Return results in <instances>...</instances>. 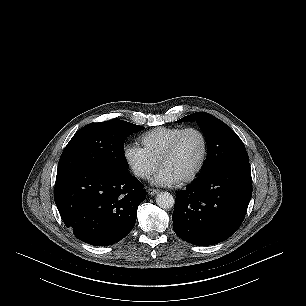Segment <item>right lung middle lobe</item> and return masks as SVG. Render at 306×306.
<instances>
[{
    "label": "right lung middle lobe",
    "mask_w": 306,
    "mask_h": 306,
    "mask_svg": "<svg viewBox=\"0 0 306 306\" xmlns=\"http://www.w3.org/2000/svg\"><path fill=\"white\" fill-rule=\"evenodd\" d=\"M141 129L142 126L118 119L84 126L62 152L56 178L85 168L127 170L124 141Z\"/></svg>",
    "instance_id": "dd1d6c3e"
}]
</instances>
